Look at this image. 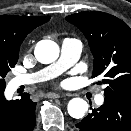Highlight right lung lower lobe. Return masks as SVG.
<instances>
[{
  "label": "right lung lower lobe",
  "instance_id": "right-lung-lower-lobe-1",
  "mask_svg": "<svg viewBox=\"0 0 131 131\" xmlns=\"http://www.w3.org/2000/svg\"><path fill=\"white\" fill-rule=\"evenodd\" d=\"M4 90H0V131H32L37 103L27 93L22 94L21 99L8 101Z\"/></svg>",
  "mask_w": 131,
  "mask_h": 131
}]
</instances>
